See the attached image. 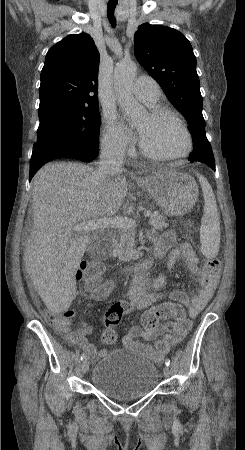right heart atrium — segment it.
Returning <instances> with one entry per match:
<instances>
[{
	"instance_id": "obj_1",
	"label": "right heart atrium",
	"mask_w": 245,
	"mask_h": 450,
	"mask_svg": "<svg viewBox=\"0 0 245 450\" xmlns=\"http://www.w3.org/2000/svg\"><path fill=\"white\" fill-rule=\"evenodd\" d=\"M103 124L101 144L105 151L116 156L132 151V138L114 115H105Z\"/></svg>"
}]
</instances>
